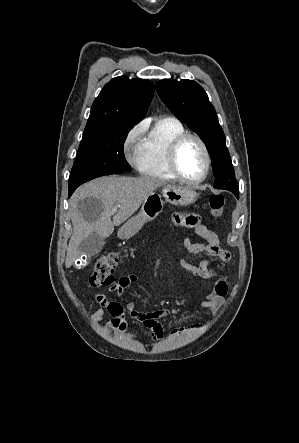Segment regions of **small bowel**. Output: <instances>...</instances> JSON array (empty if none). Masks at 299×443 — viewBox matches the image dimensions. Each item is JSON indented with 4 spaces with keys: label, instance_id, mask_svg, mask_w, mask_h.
Returning <instances> with one entry per match:
<instances>
[{
    "label": "small bowel",
    "instance_id": "small-bowel-1",
    "mask_svg": "<svg viewBox=\"0 0 299 443\" xmlns=\"http://www.w3.org/2000/svg\"><path fill=\"white\" fill-rule=\"evenodd\" d=\"M172 220L178 227L192 229V234L184 239V247L186 250L192 255H207V258L201 260L197 264L188 262L185 259H179V265L187 272L202 279L209 280L214 278L216 275L209 268L211 258H217L224 263L228 262L231 258L229 251L221 246L218 235L210 227L201 222V216L198 214L174 213ZM194 237H200L205 242H195ZM136 280L137 276L135 274L123 276L110 287V291L120 295L127 287L135 283ZM227 292V280L224 277H218L216 278L213 288L207 293L206 297L199 302L193 303L191 309H209L217 311L222 305ZM95 299L98 302L99 307L92 313L93 320H101L104 316V311L107 310L112 316V319L106 324L107 329L114 333L130 335L127 331L128 323L126 320V313H128L133 320L142 322L149 329L152 338L156 341L164 337V330L160 319L169 314L177 315L183 310L180 306L170 310L141 312L134 309L133 303L124 306L119 301L110 300L104 293H98L95 296ZM199 328L200 325L195 324L189 327L176 328L172 333L176 334Z\"/></svg>",
    "mask_w": 299,
    "mask_h": 443
}]
</instances>
